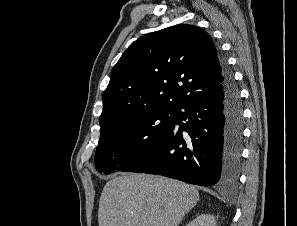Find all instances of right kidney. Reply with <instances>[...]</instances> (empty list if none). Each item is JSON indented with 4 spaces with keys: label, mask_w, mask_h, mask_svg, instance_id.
Wrapping results in <instances>:
<instances>
[{
    "label": "right kidney",
    "mask_w": 297,
    "mask_h": 226,
    "mask_svg": "<svg viewBox=\"0 0 297 226\" xmlns=\"http://www.w3.org/2000/svg\"><path fill=\"white\" fill-rule=\"evenodd\" d=\"M187 226H216L215 218L210 214H201Z\"/></svg>",
    "instance_id": "right-kidney-1"
}]
</instances>
